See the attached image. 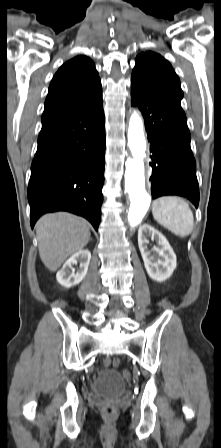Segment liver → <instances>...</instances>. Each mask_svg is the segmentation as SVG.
Instances as JSON below:
<instances>
[{"instance_id":"liver-1","label":"liver","mask_w":221,"mask_h":448,"mask_svg":"<svg viewBox=\"0 0 221 448\" xmlns=\"http://www.w3.org/2000/svg\"><path fill=\"white\" fill-rule=\"evenodd\" d=\"M39 255L50 271H56L72 254L90 240L87 222L70 213L42 216L36 224Z\"/></svg>"}]
</instances>
